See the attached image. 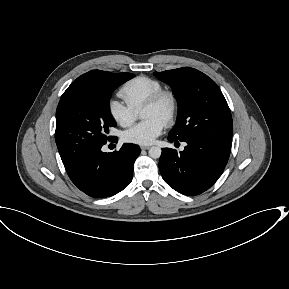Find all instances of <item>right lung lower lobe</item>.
Instances as JSON below:
<instances>
[{
  "mask_svg": "<svg viewBox=\"0 0 289 289\" xmlns=\"http://www.w3.org/2000/svg\"><path fill=\"white\" fill-rule=\"evenodd\" d=\"M103 145L80 154L64 163L75 186L88 196L105 198L126 188L133 176V167L140 154L134 144H123L119 151L104 153Z\"/></svg>",
  "mask_w": 289,
  "mask_h": 289,
  "instance_id": "1",
  "label": "right lung lower lobe"
}]
</instances>
